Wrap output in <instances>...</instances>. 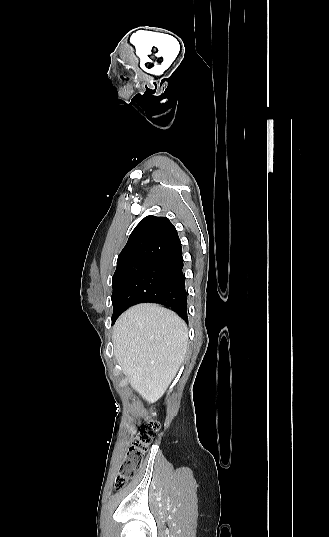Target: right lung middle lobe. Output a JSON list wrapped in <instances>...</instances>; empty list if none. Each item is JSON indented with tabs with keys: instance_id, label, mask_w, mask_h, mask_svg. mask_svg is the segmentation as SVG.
I'll return each instance as SVG.
<instances>
[{
	"instance_id": "obj_1",
	"label": "right lung middle lobe",
	"mask_w": 329,
	"mask_h": 537,
	"mask_svg": "<svg viewBox=\"0 0 329 537\" xmlns=\"http://www.w3.org/2000/svg\"><path fill=\"white\" fill-rule=\"evenodd\" d=\"M148 261H135L116 269L112 278V305L114 308L112 318L119 312L123 295L136 277L149 265Z\"/></svg>"
}]
</instances>
